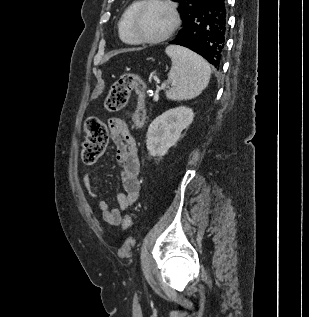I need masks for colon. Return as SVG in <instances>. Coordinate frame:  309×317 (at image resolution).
<instances>
[{
  "mask_svg": "<svg viewBox=\"0 0 309 317\" xmlns=\"http://www.w3.org/2000/svg\"><path fill=\"white\" fill-rule=\"evenodd\" d=\"M146 85L135 73H124L113 83L105 100V107L108 111H119L124 108L132 92L138 95V105L134 113V122L138 127L144 125ZM108 141V131L103 121L90 117L85 125V140L82 148V160L85 164L95 163L104 153ZM124 228L130 229L132 218L126 215Z\"/></svg>",
  "mask_w": 309,
  "mask_h": 317,
  "instance_id": "colon-1",
  "label": "colon"
}]
</instances>
